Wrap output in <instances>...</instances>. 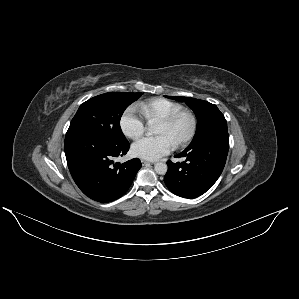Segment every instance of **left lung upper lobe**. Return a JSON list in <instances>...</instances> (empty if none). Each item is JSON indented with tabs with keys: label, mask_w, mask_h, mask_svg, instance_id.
I'll list each match as a JSON object with an SVG mask.
<instances>
[{
	"label": "left lung upper lobe",
	"mask_w": 299,
	"mask_h": 299,
	"mask_svg": "<svg viewBox=\"0 0 299 299\" xmlns=\"http://www.w3.org/2000/svg\"><path fill=\"white\" fill-rule=\"evenodd\" d=\"M176 101L185 102L195 113L198 123L191 145L218 133H228L227 121L216 105L207 101L190 98L165 96Z\"/></svg>",
	"instance_id": "obj_1"
}]
</instances>
